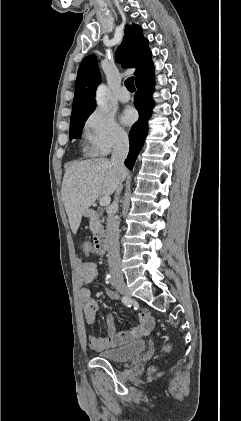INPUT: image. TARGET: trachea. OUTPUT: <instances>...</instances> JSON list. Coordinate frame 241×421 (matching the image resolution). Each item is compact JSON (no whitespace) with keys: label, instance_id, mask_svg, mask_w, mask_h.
Instances as JSON below:
<instances>
[{"label":"trachea","instance_id":"1","mask_svg":"<svg viewBox=\"0 0 241 421\" xmlns=\"http://www.w3.org/2000/svg\"><path fill=\"white\" fill-rule=\"evenodd\" d=\"M124 84L129 91L134 92L136 90L133 77L127 78Z\"/></svg>","mask_w":241,"mask_h":421}]
</instances>
